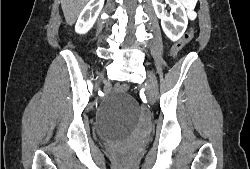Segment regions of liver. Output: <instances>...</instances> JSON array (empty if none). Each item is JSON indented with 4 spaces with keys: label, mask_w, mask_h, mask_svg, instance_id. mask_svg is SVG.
<instances>
[{
    "label": "liver",
    "mask_w": 250,
    "mask_h": 169,
    "mask_svg": "<svg viewBox=\"0 0 250 169\" xmlns=\"http://www.w3.org/2000/svg\"><path fill=\"white\" fill-rule=\"evenodd\" d=\"M67 24H74L79 12L88 0H60Z\"/></svg>",
    "instance_id": "obj_1"
}]
</instances>
